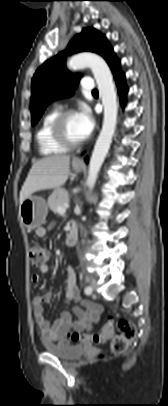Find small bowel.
Here are the masks:
<instances>
[{
    "label": "small bowel",
    "instance_id": "1",
    "mask_svg": "<svg viewBox=\"0 0 168 406\" xmlns=\"http://www.w3.org/2000/svg\"><path fill=\"white\" fill-rule=\"evenodd\" d=\"M51 227L52 224L49 228ZM47 230L48 228L39 227L36 230V235L39 238H43L46 236ZM50 270L51 267L49 265L41 267L42 273H47ZM31 280L34 283H39L41 280L40 274H33ZM52 297L53 293L49 290L43 295L35 296L32 301L34 319L47 340L65 344L64 336L68 330H90L99 321L101 306L93 301L80 298L76 275L71 267L67 268L66 299L78 303V306L74 308L77 319L73 321L70 313L63 310L54 323L50 324L45 316L44 304L49 303Z\"/></svg>",
    "mask_w": 168,
    "mask_h": 406
}]
</instances>
